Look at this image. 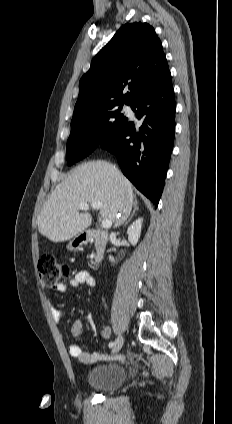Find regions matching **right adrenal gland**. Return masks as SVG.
<instances>
[{"mask_svg": "<svg viewBox=\"0 0 232 424\" xmlns=\"http://www.w3.org/2000/svg\"><path fill=\"white\" fill-rule=\"evenodd\" d=\"M134 209H133V211H132V214H131V216L129 217V219L125 222V225H127L131 220H132V218H133V216H134V214H135V211H137L138 209H139V207H138V202H137V199H136V197H134Z\"/></svg>", "mask_w": 232, "mask_h": 424, "instance_id": "2a0ac1e0", "label": "right adrenal gland"}]
</instances>
